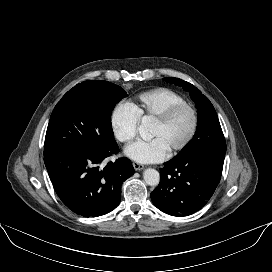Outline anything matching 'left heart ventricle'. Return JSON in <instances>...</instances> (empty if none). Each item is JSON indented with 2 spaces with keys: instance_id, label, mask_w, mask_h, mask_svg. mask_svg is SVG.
Segmentation results:
<instances>
[{
  "instance_id": "b2bd125f",
  "label": "left heart ventricle",
  "mask_w": 272,
  "mask_h": 272,
  "mask_svg": "<svg viewBox=\"0 0 272 272\" xmlns=\"http://www.w3.org/2000/svg\"><path fill=\"white\" fill-rule=\"evenodd\" d=\"M191 123L190 113L184 110L167 124L153 122L151 136L160 138L169 151L185 139L190 131Z\"/></svg>"
}]
</instances>
